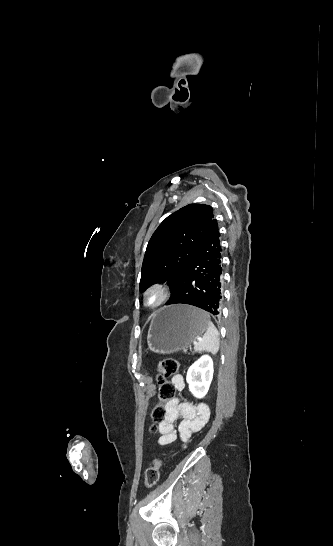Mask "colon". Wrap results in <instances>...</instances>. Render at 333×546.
Returning a JSON list of instances; mask_svg holds the SVG:
<instances>
[{
    "mask_svg": "<svg viewBox=\"0 0 333 546\" xmlns=\"http://www.w3.org/2000/svg\"><path fill=\"white\" fill-rule=\"evenodd\" d=\"M180 367L179 361L172 358H166L159 362L157 366L156 379L159 384V400L158 403L151 412V419L153 422L152 429L155 430V425L160 423L165 417L164 402H168L175 396L176 388L168 379L177 374ZM162 460L156 459L151 466L146 470L144 484L146 487H153L157 484L160 478V471L162 468Z\"/></svg>",
    "mask_w": 333,
    "mask_h": 546,
    "instance_id": "5ec220e1",
    "label": "colon"
}]
</instances>
